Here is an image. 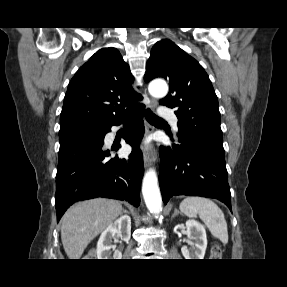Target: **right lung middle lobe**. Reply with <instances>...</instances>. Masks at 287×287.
I'll use <instances>...</instances> for the list:
<instances>
[{
	"instance_id": "obj_1",
	"label": "right lung middle lobe",
	"mask_w": 287,
	"mask_h": 287,
	"mask_svg": "<svg viewBox=\"0 0 287 287\" xmlns=\"http://www.w3.org/2000/svg\"><path fill=\"white\" fill-rule=\"evenodd\" d=\"M101 127L90 123H72L60 127L59 142L63 143L74 139L96 138Z\"/></svg>"
}]
</instances>
